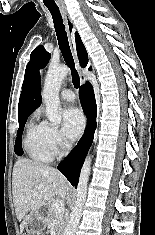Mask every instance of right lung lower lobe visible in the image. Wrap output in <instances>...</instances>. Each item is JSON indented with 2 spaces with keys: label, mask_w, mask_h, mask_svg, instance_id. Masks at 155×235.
Masks as SVG:
<instances>
[{
  "label": "right lung lower lobe",
  "mask_w": 155,
  "mask_h": 235,
  "mask_svg": "<svg viewBox=\"0 0 155 235\" xmlns=\"http://www.w3.org/2000/svg\"><path fill=\"white\" fill-rule=\"evenodd\" d=\"M81 105L87 116V126L83 137L69 156L62 162L60 171L66 176L69 182L77 187L80 170L83 165L87 152L92 144L96 129L97 107L94 92L89 83L82 85L79 90ZM60 166V165H59Z\"/></svg>",
  "instance_id": "right-lung-lower-lobe-1"
}]
</instances>
